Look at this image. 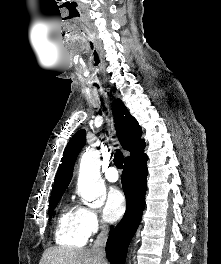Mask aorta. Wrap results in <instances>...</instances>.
Listing matches in <instances>:
<instances>
[{"mask_svg": "<svg viewBox=\"0 0 221 264\" xmlns=\"http://www.w3.org/2000/svg\"><path fill=\"white\" fill-rule=\"evenodd\" d=\"M104 181L100 176V158L97 151H86L81 158L78 191L86 202H97L105 193Z\"/></svg>", "mask_w": 221, "mask_h": 264, "instance_id": "obj_1", "label": "aorta"}]
</instances>
